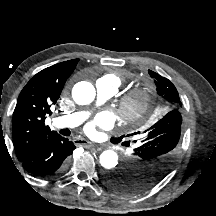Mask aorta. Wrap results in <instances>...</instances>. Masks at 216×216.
<instances>
[{
    "label": "aorta",
    "mask_w": 216,
    "mask_h": 216,
    "mask_svg": "<svg viewBox=\"0 0 216 216\" xmlns=\"http://www.w3.org/2000/svg\"><path fill=\"white\" fill-rule=\"evenodd\" d=\"M95 88L89 82H78L72 89V97L79 105L90 104L95 98ZM100 164L105 169H112L118 164V155L113 150H105L101 153Z\"/></svg>",
    "instance_id": "aorta-1"
}]
</instances>
